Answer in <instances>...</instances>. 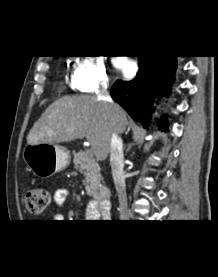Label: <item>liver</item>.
Returning a JSON list of instances; mask_svg holds the SVG:
<instances>
[{
  "mask_svg": "<svg viewBox=\"0 0 218 277\" xmlns=\"http://www.w3.org/2000/svg\"><path fill=\"white\" fill-rule=\"evenodd\" d=\"M117 106L118 111H114L108 103L92 96L58 99L34 124L27 142L57 144L86 137L97 159L105 160L112 134L124 132L127 126V114Z\"/></svg>",
  "mask_w": 218,
  "mask_h": 277,
  "instance_id": "obj_1",
  "label": "liver"
}]
</instances>
